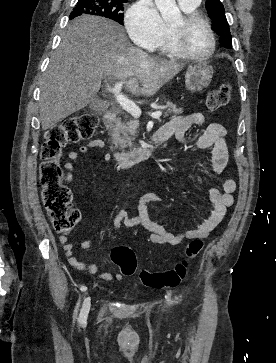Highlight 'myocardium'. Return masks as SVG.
Segmentation results:
<instances>
[{
  "label": "myocardium",
  "instance_id": "myocardium-1",
  "mask_svg": "<svg viewBox=\"0 0 276 363\" xmlns=\"http://www.w3.org/2000/svg\"><path fill=\"white\" fill-rule=\"evenodd\" d=\"M195 23H203L208 31L211 45L210 49L201 55L190 52L183 42V35L186 29ZM171 41L174 49L179 53L180 56L186 59L194 61H205L209 59L216 50V37L209 20L197 11H190L182 16V21L179 26H171Z\"/></svg>",
  "mask_w": 276,
  "mask_h": 363
}]
</instances>
